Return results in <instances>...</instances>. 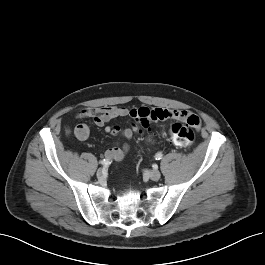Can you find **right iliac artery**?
Listing matches in <instances>:
<instances>
[{
  "mask_svg": "<svg viewBox=\"0 0 265 265\" xmlns=\"http://www.w3.org/2000/svg\"><path fill=\"white\" fill-rule=\"evenodd\" d=\"M101 164H102L104 167H107V166H109V165L111 164V161L108 160V159H103V160L101 161Z\"/></svg>",
  "mask_w": 265,
  "mask_h": 265,
  "instance_id": "82829eb1",
  "label": "right iliac artery"
}]
</instances>
